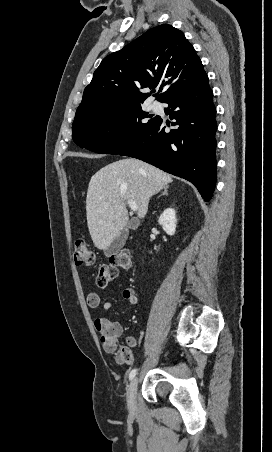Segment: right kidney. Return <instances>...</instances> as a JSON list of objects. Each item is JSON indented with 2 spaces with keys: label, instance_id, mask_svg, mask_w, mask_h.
<instances>
[{
  "label": "right kidney",
  "instance_id": "right-kidney-1",
  "mask_svg": "<svg viewBox=\"0 0 272 452\" xmlns=\"http://www.w3.org/2000/svg\"><path fill=\"white\" fill-rule=\"evenodd\" d=\"M158 223L162 226L163 230L170 236L175 234L176 231V212L172 208H167L163 211L158 219Z\"/></svg>",
  "mask_w": 272,
  "mask_h": 452
}]
</instances>
